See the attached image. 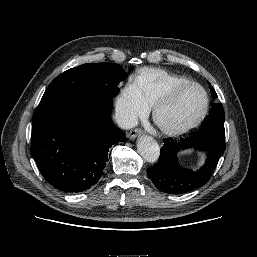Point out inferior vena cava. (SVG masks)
<instances>
[{
	"instance_id": "1",
	"label": "inferior vena cava",
	"mask_w": 257,
	"mask_h": 257,
	"mask_svg": "<svg viewBox=\"0 0 257 257\" xmlns=\"http://www.w3.org/2000/svg\"><path fill=\"white\" fill-rule=\"evenodd\" d=\"M115 120L123 129H131L138 124L137 116L122 109H116Z\"/></svg>"
}]
</instances>
